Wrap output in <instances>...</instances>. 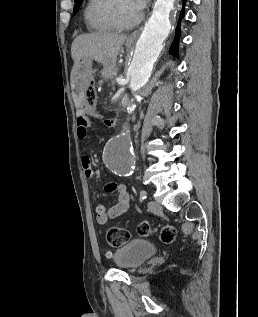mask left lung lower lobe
I'll return each instance as SVG.
<instances>
[{
  "label": "left lung lower lobe",
  "instance_id": "0a47b994",
  "mask_svg": "<svg viewBox=\"0 0 258 317\" xmlns=\"http://www.w3.org/2000/svg\"><path fill=\"white\" fill-rule=\"evenodd\" d=\"M185 1L186 0H184V2H183V9L181 11L180 20L184 16V4H185ZM180 20H179V23H178V26H177V29H176V37H175V39H174V41L172 43V46L170 48V51H169L175 57H178L177 47H178V38H179V35H180V32H179Z\"/></svg>",
  "mask_w": 258,
  "mask_h": 317
}]
</instances>
